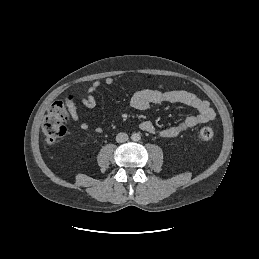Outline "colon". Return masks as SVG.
<instances>
[{"instance_id": "colon-1", "label": "colon", "mask_w": 259, "mask_h": 259, "mask_svg": "<svg viewBox=\"0 0 259 259\" xmlns=\"http://www.w3.org/2000/svg\"><path fill=\"white\" fill-rule=\"evenodd\" d=\"M70 102L68 98L66 101H56L49 107L42 123V132L47 144L56 143L66 134ZM213 137L214 131L210 126L203 127L197 132V139L202 142L210 141Z\"/></svg>"}]
</instances>
